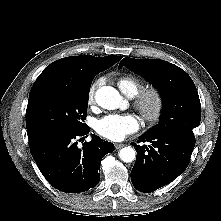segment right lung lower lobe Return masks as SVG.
<instances>
[{"label":"right lung lower lobe","mask_w":221,"mask_h":221,"mask_svg":"<svg viewBox=\"0 0 221 221\" xmlns=\"http://www.w3.org/2000/svg\"><path fill=\"white\" fill-rule=\"evenodd\" d=\"M89 131L87 127L76 133L55 134L29 143L38 168L54 188L65 193H79L99 183L100 160L114 151V145L92 136L82 149L78 148L76 136Z\"/></svg>","instance_id":"98d812e1"}]
</instances>
